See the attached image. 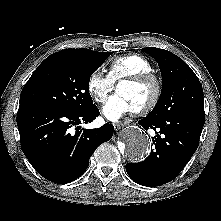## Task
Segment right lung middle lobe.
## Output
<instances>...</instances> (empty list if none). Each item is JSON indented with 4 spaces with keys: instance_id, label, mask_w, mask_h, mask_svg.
I'll use <instances>...</instances> for the list:
<instances>
[{
    "instance_id": "right-lung-middle-lobe-1",
    "label": "right lung middle lobe",
    "mask_w": 221,
    "mask_h": 221,
    "mask_svg": "<svg viewBox=\"0 0 221 221\" xmlns=\"http://www.w3.org/2000/svg\"><path fill=\"white\" fill-rule=\"evenodd\" d=\"M110 55L111 52H99L92 58L50 55L25 84L20 104L48 105L72 112L92 108L90 77Z\"/></svg>"
}]
</instances>
